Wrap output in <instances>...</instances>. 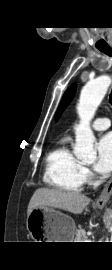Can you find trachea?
Listing matches in <instances>:
<instances>
[{"instance_id": "trachea-1", "label": "trachea", "mask_w": 112, "mask_h": 270, "mask_svg": "<svg viewBox=\"0 0 112 270\" xmlns=\"http://www.w3.org/2000/svg\"><path fill=\"white\" fill-rule=\"evenodd\" d=\"M100 51L105 53L108 56H112V48H110V47L100 49ZM109 101H110V104L112 105V92L109 95Z\"/></svg>"}]
</instances>
